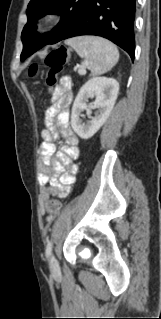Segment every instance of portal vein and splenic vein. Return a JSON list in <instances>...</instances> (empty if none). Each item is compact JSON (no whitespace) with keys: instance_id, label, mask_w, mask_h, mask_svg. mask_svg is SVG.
<instances>
[{"instance_id":"obj_1","label":"portal vein and splenic vein","mask_w":161,"mask_h":319,"mask_svg":"<svg viewBox=\"0 0 161 319\" xmlns=\"http://www.w3.org/2000/svg\"><path fill=\"white\" fill-rule=\"evenodd\" d=\"M78 73L84 75L86 74V70L84 68H81L78 70Z\"/></svg>"}]
</instances>
